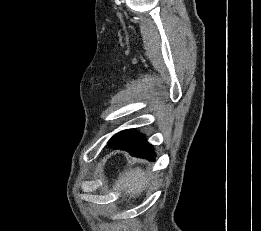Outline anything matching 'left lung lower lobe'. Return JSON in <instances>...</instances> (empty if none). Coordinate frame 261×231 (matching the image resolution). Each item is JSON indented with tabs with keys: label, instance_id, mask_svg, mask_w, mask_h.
<instances>
[{
	"label": "left lung lower lobe",
	"instance_id": "left-lung-lower-lobe-1",
	"mask_svg": "<svg viewBox=\"0 0 261 231\" xmlns=\"http://www.w3.org/2000/svg\"><path fill=\"white\" fill-rule=\"evenodd\" d=\"M110 148L121 149L128 151L132 156L140 157L148 160L154 159L156 154L154 153L153 146L149 144L146 139H123L115 143L108 144Z\"/></svg>",
	"mask_w": 261,
	"mask_h": 231
}]
</instances>
